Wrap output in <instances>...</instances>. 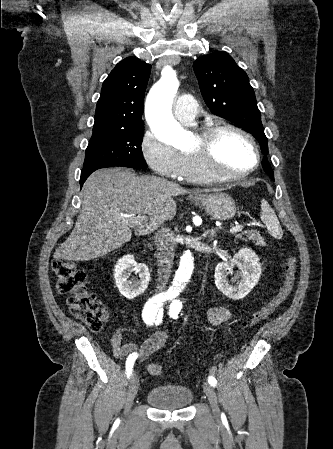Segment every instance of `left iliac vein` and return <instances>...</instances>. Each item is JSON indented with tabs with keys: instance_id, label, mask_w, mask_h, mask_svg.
Masks as SVG:
<instances>
[{
	"instance_id": "4c4485c4",
	"label": "left iliac vein",
	"mask_w": 333,
	"mask_h": 449,
	"mask_svg": "<svg viewBox=\"0 0 333 449\" xmlns=\"http://www.w3.org/2000/svg\"><path fill=\"white\" fill-rule=\"evenodd\" d=\"M203 390H204V393L206 394V396H207V398L209 400V403H210V406H211L212 413H213L214 417L216 419H219L220 410H219V406H218V403H217V396H216L214 388L210 384H208L207 382H204L203 383Z\"/></svg>"
}]
</instances>
